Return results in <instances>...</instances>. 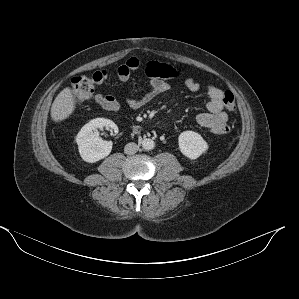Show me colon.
Here are the masks:
<instances>
[{"instance_id":"obj_1","label":"colon","mask_w":299,"mask_h":299,"mask_svg":"<svg viewBox=\"0 0 299 299\" xmlns=\"http://www.w3.org/2000/svg\"><path fill=\"white\" fill-rule=\"evenodd\" d=\"M105 76L104 72H97L91 76L80 75L75 76L71 80V93L74 102L78 105L87 101L100 85ZM223 103L228 111L236 109V102L234 95L227 91L224 94Z\"/></svg>"}]
</instances>
